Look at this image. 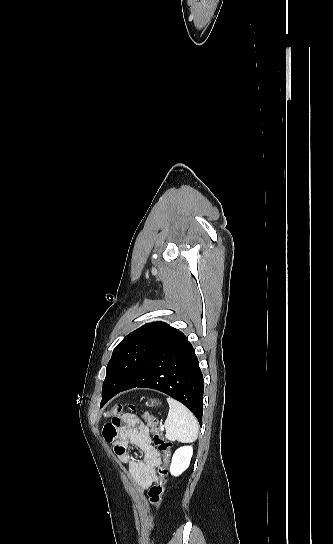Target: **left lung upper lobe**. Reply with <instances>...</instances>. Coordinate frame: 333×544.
Here are the masks:
<instances>
[{"instance_id": "left-lung-upper-lobe-1", "label": "left lung upper lobe", "mask_w": 333, "mask_h": 544, "mask_svg": "<svg viewBox=\"0 0 333 544\" xmlns=\"http://www.w3.org/2000/svg\"><path fill=\"white\" fill-rule=\"evenodd\" d=\"M178 329L162 322L148 323L131 332L115 347L106 368L102 392H114L131 381Z\"/></svg>"}]
</instances>
